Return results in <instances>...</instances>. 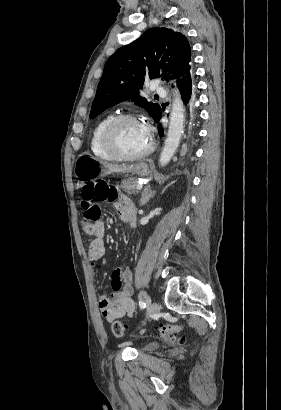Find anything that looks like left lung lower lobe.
I'll list each match as a JSON object with an SVG mask.
<instances>
[{
	"label": "left lung lower lobe",
	"instance_id": "left-lung-lower-lobe-1",
	"mask_svg": "<svg viewBox=\"0 0 281 410\" xmlns=\"http://www.w3.org/2000/svg\"><path fill=\"white\" fill-rule=\"evenodd\" d=\"M193 78L194 74L193 71L187 73L185 76H183L178 82V88L180 89L182 100L185 104H188L190 101H192V90L194 88V83H193ZM162 117V112L160 110L159 114L157 117L154 119L156 123L160 121ZM191 119H193V112L190 114ZM159 129V134L163 135V128L161 125L158 126Z\"/></svg>",
	"mask_w": 281,
	"mask_h": 410
}]
</instances>
